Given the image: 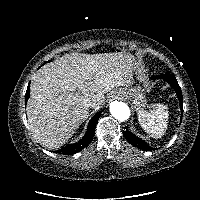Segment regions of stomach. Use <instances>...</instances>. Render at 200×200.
I'll list each match as a JSON object with an SVG mask.
<instances>
[{
	"mask_svg": "<svg viewBox=\"0 0 200 200\" xmlns=\"http://www.w3.org/2000/svg\"><path fill=\"white\" fill-rule=\"evenodd\" d=\"M115 92L121 93L126 98H132L133 104L138 110L145 106L146 99L140 86L132 88L127 85L126 87L117 89Z\"/></svg>",
	"mask_w": 200,
	"mask_h": 200,
	"instance_id": "1",
	"label": "stomach"
}]
</instances>
